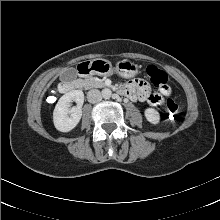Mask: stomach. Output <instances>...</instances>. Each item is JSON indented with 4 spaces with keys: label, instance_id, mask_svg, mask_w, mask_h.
<instances>
[{
    "label": "stomach",
    "instance_id": "1",
    "mask_svg": "<svg viewBox=\"0 0 220 220\" xmlns=\"http://www.w3.org/2000/svg\"><path fill=\"white\" fill-rule=\"evenodd\" d=\"M88 69L90 75L99 76L112 75L116 71L124 78H131L138 73V66L129 60L117 62L114 68L108 60L94 59L88 62Z\"/></svg>",
    "mask_w": 220,
    "mask_h": 220
}]
</instances>
